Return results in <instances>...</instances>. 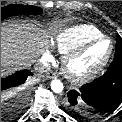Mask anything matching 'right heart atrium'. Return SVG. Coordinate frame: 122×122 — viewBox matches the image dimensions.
Listing matches in <instances>:
<instances>
[{
    "label": "right heart atrium",
    "instance_id": "right-heart-atrium-1",
    "mask_svg": "<svg viewBox=\"0 0 122 122\" xmlns=\"http://www.w3.org/2000/svg\"><path fill=\"white\" fill-rule=\"evenodd\" d=\"M44 59H45L46 61L52 60V54H51L50 50H46V52H45V54H44Z\"/></svg>",
    "mask_w": 122,
    "mask_h": 122
}]
</instances>
